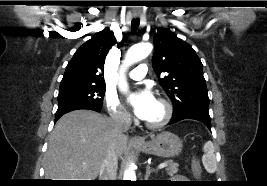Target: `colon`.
<instances>
[{"label":"colon","mask_w":267,"mask_h":186,"mask_svg":"<svg viewBox=\"0 0 267 186\" xmlns=\"http://www.w3.org/2000/svg\"><path fill=\"white\" fill-rule=\"evenodd\" d=\"M192 170L195 174H199L201 172V165L197 159L192 162Z\"/></svg>","instance_id":"5ec220e1"}]
</instances>
